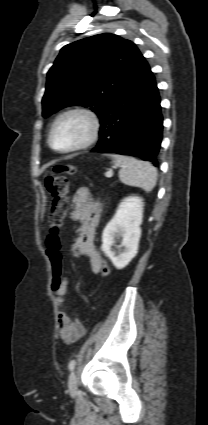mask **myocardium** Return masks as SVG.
Listing matches in <instances>:
<instances>
[{
  "label": "myocardium",
  "instance_id": "f54148a6",
  "mask_svg": "<svg viewBox=\"0 0 208 425\" xmlns=\"http://www.w3.org/2000/svg\"><path fill=\"white\" fill-rule=\"evenodd\" d=\"M73 115L82 116L88 121V123H89L88 135L86 136V138L81 143L76 144L72 147L63 148V149L55 147L53 145V135H54L56 127L58 126V124L63 119H65L66 117H69V116H73ZM100 132H101V121H100L99 116L94 111H92L88 108H84V107H74V108H70V109L63 111L54 120V122L51 126V129H50V132H49L48 143H49L50 147L57 152L72 153V152L84 150V149L92 146L99 139Z\"/></svg>",
  "mask_w": 208,
  "mask_h": 425
}]
</instances>
